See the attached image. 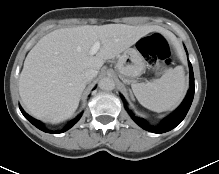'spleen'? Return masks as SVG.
Here are the masks:
<instances>
[{
	"label": "spleen",
	"mask_w": 219,
	"mask_h": 174,
	"mask_svg": "<svg viewBox=\"0 0 219 174\" xmlns=\"http://www.w3.org/2000/svg\"><path fill=\"white\" fill-rule=\"evenodd\" d=\"M134 95L145 108L164 112L174 108L183 98L185 77L182 66L168 69L158 79L147 83H132Z\"/></svg>",
	"instance_id": "spleen-1"
}]
</instances>
